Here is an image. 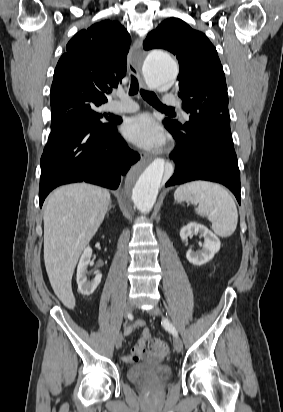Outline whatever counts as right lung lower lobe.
<instances>
[{"instance_id": "right-lung-lower-lobe-1", "label": "right lung lower lobe", "mask_w": 283, "mask_h": 412, "mask_svg": "<svg viewBox=\"0 0 283 412\" xmlns=\"http://www.w3.org/2000/svg\"><path fill=\"white\" fill-rule=\"evenodd\" d=\"M121 119L107 126L83 123L73 130L51 132L41 157L39 202L59 185L89 182L116 189L140 156L130 150L117 131Z\"/></svg>"}]
</instances>
